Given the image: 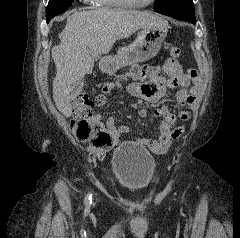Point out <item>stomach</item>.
<instances>
[{
  "instance_id": "0dacf381",
  "label": "stomach",
  "mask_w": 240,
  "mask_h": 238,
  "mask_svg": "<svg viewBox=\"0 0 240 238\" xmlns=\"http://www.w3.org/2000/svg\"><path fill=\"white\" fill-rule=\"evenodd\" d=\"M168 28L165 21L142 28L132 44L120 49L115 57L100 61L101 70L105 73H113L121 66L155 57L167 36Z\"/></svg>"
}]
</instances>
